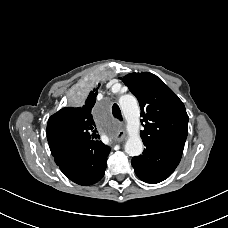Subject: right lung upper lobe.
Returning a JSON list of instances; mask_svg holds the SVG:
<instances>
[{"instance_id":"1","label":"right lung upper lobe","mask_w":228,"mask_h":228,"mask_svg":"<svg viewBox=\"0 0 228 228\" xmlns=\"http://www.w3.org/2000/svg\"><path fill=\"white\" fill-rule=\"evenodd\" d=\"M95 87L79 107H65L52 115L47 123L49 146L82 141H99L92 108L96 102L98 88Z\"/></svg>"}]
</instances>
